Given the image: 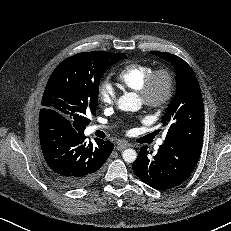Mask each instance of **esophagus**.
Wrapping results in <instances>:
<instances>
[{
	"instance_id": "1",
	"label": "esophagus",
	"mask_w": 231,
	"mask_h": 231,
	"mask_svg": "<svg viewBox=\"0 0 231 231\" xmlns=\"http://www.w3.org/2000/svg\"><path fill=\"white\" fill-rule=\"evenodd\" d=\"M129 146V144L125 143V142H119L116 146V149L118 151H123L124 149H126Z\"/></svg>"
}]
</instances>
